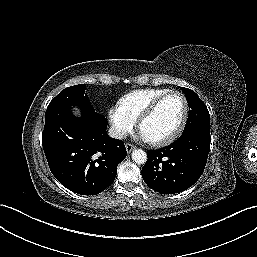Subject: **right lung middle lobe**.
I'll return each mask as SVG.
<instances>
[{
    "label": "right lung middle lobe",
    "instance_id": "right-lung-middle-lobe-1",
    "mask_svg": "<svg viewBox=\"0 0 257 257\" xmlns=\"http://www.w3.org/2000/svg\"><path fill=\"white\" fill-rule=\"evenodd\" d=\"M85 84L74 85L63 89L49 104L48 107L61 104H79L92 106L85 93Z\"/></svg>",
    "mask_w": 257,
    "mask_h": 257
}]
</instances>
